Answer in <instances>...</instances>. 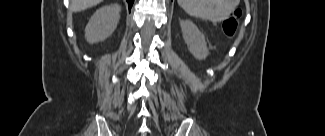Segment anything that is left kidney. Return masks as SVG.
Segmentation results:
<instances>
[{
    "label": "left kidney",
    "mask_w": 325,
    "mask_h": 136,
    "mask_svg": "<svg viewBox=\"0 0 325 136\" xmlns=\"http://www.w3.org/2000/svg\"><path fill=\"white\" fill-rule=\"evenodd\" d=\"M180 26L190 53L198 60L205 59L209 51L204 34L190 20H181Z\"/></svg>",
    "instance_id": "5707ae66"
}]
</instances>
